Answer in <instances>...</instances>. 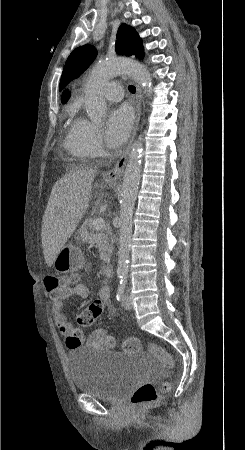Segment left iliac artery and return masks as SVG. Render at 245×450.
Returning a JSON list of instances; mask_svg holds the SVG:
<instances>
[{
  "instance_id": "44dca946",
  "label": "left iliac artery",
  "mask_w": 245,
  "mask_h": 450,
  "mask_svg": "<svg viewBox=\"0 0 245 450\" xmlns=\"http://www.w3.org/2000/svg\"><path fill=\"white\" fill-rule=\"evenodd\" d=\"M126 284H127V280L125 277H121L120 279V283L118 285V289H117V294H116V298L118 301H121L123 298V294L126 288Z\"/></svg>"
}]
</instances>
